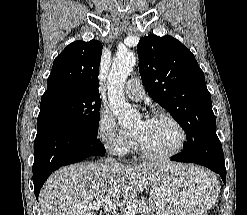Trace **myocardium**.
<instances>
[{
  "mask_svg": "<svg viewBox=\"0 0 247 215\" xmlns=\"http://www.w3.org/2000/svg\"><path fill=\"white\" fill-rule=\"evenodd\" d=\"M149 119H166L171 122L179 133V142L177 146L170 152L167 153H153L148 151L140 139L133 134L134 144L138 153L145 159L152 160V161H161L167 160L177 156L185 147L187 141V133L184 129L183 125L180 123L178 119H176L172 114L164 111H155L153 112Z\"/></svg>",
  "mask_w": 247,
  "mask_h": 215,
  "instance_id": "1",
  "label": "myocardium"
}]
</instances>
